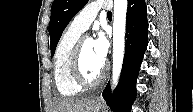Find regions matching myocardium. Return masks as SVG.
Wrapping results in <instances>:
<instances>
[{"label": "myocardium", "instance_id": "obj_1", "mask_svg": "<svg viewBox=\"0 0 193 112\" xmlns=\"http://www.w3.org/2000/svg\"><path fill=\"white\" fill-rule=\"evenodd\" d=\"M86 39H90V38L81 37L78 39L73 49L72 56H71V63H70L72 78L75 81V83L82 88L94 87L100 84L105 79L108 72V66L106 63H104V67L101 73L95 79H88L85 76L82 69V50H83L84 41Z\"/></svg>", "mask_w": 193, "mask_h": 112}]
</instances>
